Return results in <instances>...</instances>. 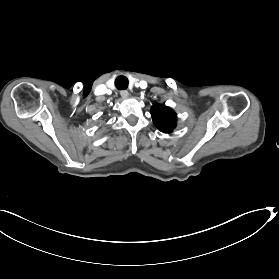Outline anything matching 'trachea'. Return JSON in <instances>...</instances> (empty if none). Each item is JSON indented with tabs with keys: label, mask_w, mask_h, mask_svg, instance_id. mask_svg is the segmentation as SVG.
Masks as SVG:
<instances>
[{
	"label": "trachea",
	"mask_w": 279,
	"mask_h": 279,
	"mask_svg": "<svg viewBox=\"0 0 279 279\" xmlns=\"http://www.w3.org/2000/svg\"><path fill=\"white\" fill-rule=\"evenodd\" d=\"M115 86L118 90H126L128 87V79L123 75L118 76L115 80Z\"/></svg>",
	"instance_id": "3493384b"
}]
</instances>
